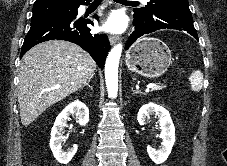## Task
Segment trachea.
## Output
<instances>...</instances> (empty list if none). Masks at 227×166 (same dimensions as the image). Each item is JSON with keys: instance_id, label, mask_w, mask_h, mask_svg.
Wrapping results in <instances>:
<instances>
[{"instance_id": "3493384b", "label": "trachea", "mask_w": 227, "mask_h": 166, "mask_svg": "<svg viewBox=\"0 0 227 166\" xmlns=\"http://www.w3.org/2000/svg\"><path fill=\"white\" fill-rule=\"evenodd\" d=\"M117 3H122V4H133V3H137V2H132V1H126V0H113ZM95 3H99L101 2V0H95Z\"/></svg>"}]
</instances>
